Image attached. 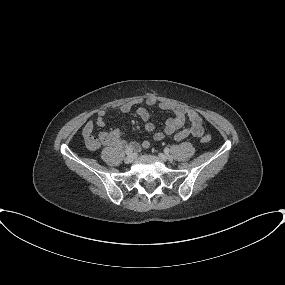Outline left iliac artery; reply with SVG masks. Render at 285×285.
<instances>
[{
    "mask_svg": "<svg viewBox=\"0 0 285 285\" xmlns=\"http://www.w3.org/2000/svg\"><path fill=\"white\" fill-rule=\"evenodd\" d=\"M164 151H165V153H169L170 149L169 148H165Z\"/></svg>",
    "mask_w": 285,
    "mask_h": 285,
    "instance_id": "left-iliac-artery-1",
    "label": "left iliac artery"
}]
</instances>
